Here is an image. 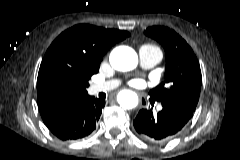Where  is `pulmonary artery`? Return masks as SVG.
<instances>
[{
	"mask_svg": "<svg viewBox=\"0 0 240 160\" xmlns=\"http://www.w3.org/2000/svg\"><path fill=\"white\" fill-rule=\"evenodd\" d=\"M139 59H140V66L143 69H150L161 61L162 53L156 48L144 45L139 49ZM119 84H120V80L118 79L99 82L92 86V91L94 93L109 91L116 88ZM161 109H162V106H158V110H161Z\"/></svg>",
	"mask_w": 240,
	"mask_h": 160,
	"instance_id": "pulmonary-artery-1",
	"label": "pulmonary artery"
}]
</instances>
